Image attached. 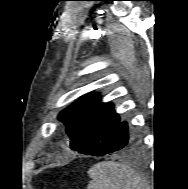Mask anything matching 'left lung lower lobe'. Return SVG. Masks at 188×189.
<instances>
[{
    "mask_svg": "<svg viewBox=\"0 0 188 189\" xmlns=\"http://www.w3.org/2000/svg\"><path fill=\"white\" fill-rule=\"evenodd\" d=\"M133 140L129 139L128 125L120 122L110 134L93 148L88 155L103 156L132 146Z\"/></svg>",
    "mask_w": 188,
    "mask_h": 189,
    "instance_id": "obj_1",
    "label": "left lung lower lobe"
}]
</instances>
